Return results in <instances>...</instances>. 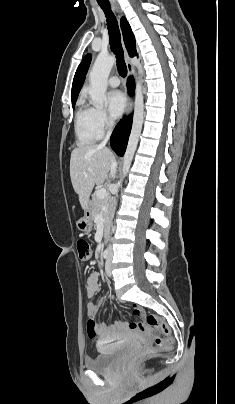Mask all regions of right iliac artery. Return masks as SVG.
Instances as JSON below:
<instances>
[{
	"label": "right iliac artery",
	"instance_id": "obj_1",
	"mask_svg": "<svg viewBox=\"0 0 235 404\" xmlns=\"http://www.w3.org/2000/svg\"><path fill=\"white\" fill-rule=\"evenodd\" d=\"M108 253H109V251H108V249H106V250L104 251V253H103V257H104L105 259L108 257Z\"/></svg>",
	"mask_w": 235,
	"mask_h": 404
}]
</instances>
